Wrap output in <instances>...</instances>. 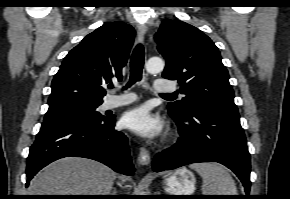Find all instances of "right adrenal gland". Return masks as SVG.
<instances>
[{
  "mask_svg": "<svg viewBox=\"0 0 290 199\" xmlns=\"http://www.w3.org/2000/svg\"><path fill=\"white\" fill-rule=\"evenodd\" d=\"M110 195H116V188L112 189V193H110Z\"/></svg>",
  "mask_w": 290,
  "mask_h": 199,
  "instance_id": "right-adrenal-gland-1",
  "label": "right adrenal gland"
}]
</instances>
